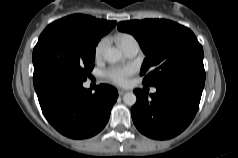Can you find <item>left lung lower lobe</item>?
Wrapping results in <instances>:
<instances>
[{
	"mask_svg": "<svg viewBox=\"0 0 238 158\" xmlns=\"http://www.w3.org/2000/svg\"><path fill=\"white\" fill-rule=\"evenodd\" d=\"M205 72H189L156 85V93L134 90L136 104L131 115L136 128L153 139H170L193 120L201 99Z\"/></svg>",
	"mask_w": 238,
	"mask_h": 158,
	"instance_id": "0a47b994",
	"label": "left lung lower lobe"
}]
</instances>
